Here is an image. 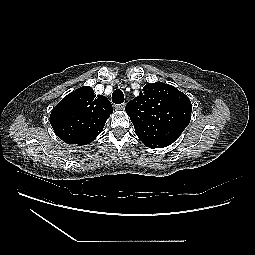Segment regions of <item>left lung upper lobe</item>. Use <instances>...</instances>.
Instances as JSON below:
<instances>
[{"mask_svg": "<svg viewBox=\"0 0 255 255\" xmlns=\"http://www.w3.org/2000/svg\"><path fill=\"white\" fill-rule=\"evenodd\" d=\"M125 109L136 135L147 146L173 143L190 123L192 104L175 87L155 82L146 84Z\"/></svg>", "mask_w": 255, "mask_h": 255, "instance_id": "obj_1", "label": "left lung upper lobe"}]
</instances>
